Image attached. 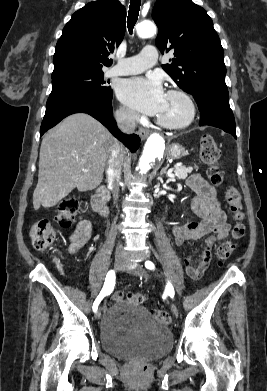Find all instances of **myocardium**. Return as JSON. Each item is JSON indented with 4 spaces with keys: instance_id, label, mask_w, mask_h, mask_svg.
<instances>
[{
    "instance_id": "1",
    "label": "myocardium",
    "mask_w": 267,
    "mask_h": 391,
    "mask_svg": "<svg viewBox=\"0 0 267 391\" xmlns=\"http://www.w3.org/2000/svg\"><path fill=\"white\" fill-rule=\"evenodd\" d=\"M167 95L180 97L187 105L188 114L186 118L181 122H170L160 117H157V123L162 127L172 130H180L190 126L196 117V105L192 97L187 92L181 89H170L167 92Z\"/></svg>"
}]
</instances>
